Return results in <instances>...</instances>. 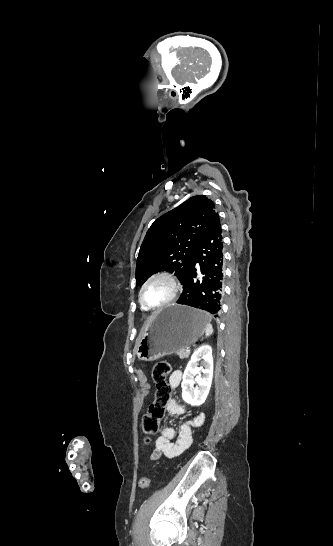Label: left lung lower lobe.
<instances>
[{
  "label": "left lung lower lobe",
  "mask_w": 333,
  "mask_h": 546,
  "mask_svg": "<svg viewBox=\"0 0 333 546\" xmlns=\"http://www.w3.org/2000/svg\"><path fill=\"white\" fill-rule=\"evenodd\" d=\"M223 243L219 216L198 241L192 265L183 282V292L178 304L192 306L218 317L223 297ZM196 263L199 264L197 276Z\"/></svg>",
  "instance_id": "obj_1"
}]
</instances>
